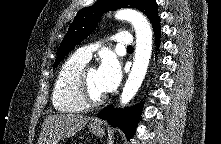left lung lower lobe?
I'll use <instances>...</instances> for the list:
<instances>
[{"label":"left lung lower lobe","mask_w":221,"mask_h":144,"mask_svg":"<svg viewBox=\"0 0 221 144\" xmlns=\"http://www.w3.org/2000/svg\"><path fill=\"white\" fill-rule=\"evenodd\" d=\"M153 30L156 38V46L158 48L159 45V37H160V20L157 19L153 23ZM142 103L135 105L130 108H114L112 105L105 108L101 112L98 113V117L107 122L112 127H119L125 132V135L128 139L132 138L134 131L137 127V123L139 121L141 111H142Z\"/></svg>","instance_id":"obj_1"}]
</instances>
